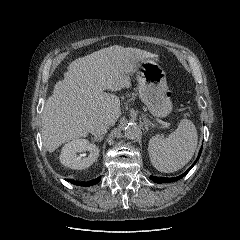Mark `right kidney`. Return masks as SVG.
Instances as JSON below:
<instances>
[{"mask_svg":"<svg viewBox=\"0 0 240 240\" xmlns=\"http://www.w3.org/2000/svg\"><path fill=\"white\" fill-rule=\"evenodd\" d=\"M89 151V155L83 159L78 153ZM100 149L87 139H75L65 144L60 154V162L71 169H85L90 167L98 158Z\"/></svg>","mask_w":240,"mask_h":240,"instance_id":"1","label":"right kidney"}]
</instances>
